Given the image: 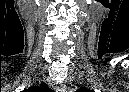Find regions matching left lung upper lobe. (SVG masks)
<instances>
[{"instance_id": "obj_1", "label": "left lung upper lobe", "mask_w": 129, "mask_h": 92, "mask_svg": "<svg viewBox=\"0 0 129 92\" xmlns=\"http://www.w3.org/2000/svg\"><path fill=\"white\" fill-rule=\"evenodd\" d=\"M78 91H81V92H92L91 90H88V89H86V88H81V89L78 90Z\"/></svg>"}]
</instances>
